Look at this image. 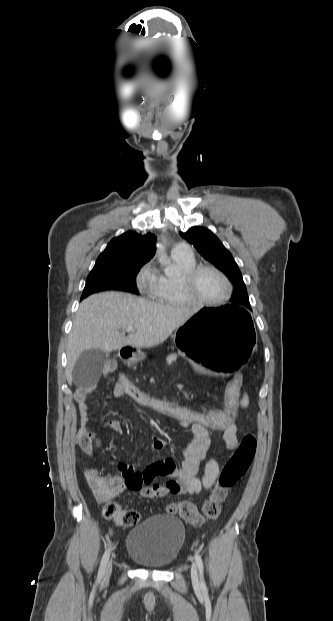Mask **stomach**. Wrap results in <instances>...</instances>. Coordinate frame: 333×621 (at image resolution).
Here are the masks:
<instances>
[{
    "label": "stomach",
    "mask_w": 333,
    "mask_h": 621,
    "mask_svg": "<svg viewBox=\"0 0 333 621\" xmlns=\"http://www.w3.org/2000/svg\"><path fill=\"white\" fill-rule=\"evenodd\" d=\"M192 365L205 367L214 385L219 377H236L248 368L254 352L255 331L250 312L231 305L205 307L188 316L172 335ZM145 358L139 350L132 362Z\"/></svg>",
    "instance_id": "0dacf381"
}]
</instances>
